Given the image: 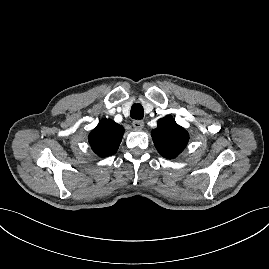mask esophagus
<instances>
[{
  "label": "esophagus",
  "mask_w": 269,
  "mask_h": 269,
  "mask_svg": "<svg viewBox=\"0 0 269 269\" xmlns=\"http://www.w3.org/2000/svg\"><path fill=\"white\" fill-rule=\"evenodd\" d=\"M132 125L135 129H142L144 128L145 123L143 120H134Z\"/></svg>",
  "instance_id": "esophagus-1"
}]
</instances>
